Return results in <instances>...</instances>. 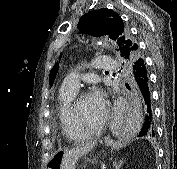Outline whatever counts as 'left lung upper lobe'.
<instances>
[{
  "label": "left lung upper lobe",
  "mask_w": 177,
  "mask_h": 169,
  "mask_svg": "<svg viewBox=\"0 0 177 169\" xmlns=\"http://www.w3.org/2000/svg\"><path fill=\"white\" fill-rule=\"evenodd\" d=\"M78 26L81 33L100 37L108 35L110 39L117 41L121 57L128 63L141 57L138 46L131 38L128 27L122 18L107 8L91 11L81 17ZM137 46L135 51H131L132 46ZM56 73L50 75V84H53Z\"/></svg>",
  "instance_id": "1"
}]
</instances>
